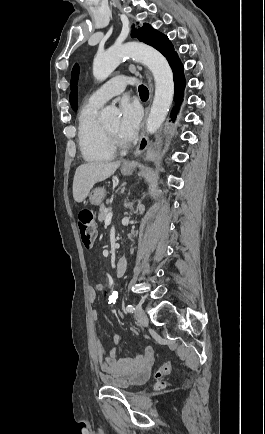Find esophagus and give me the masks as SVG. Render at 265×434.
Instances as JSON below:
<instances>
[{"instance_id":"esophagus-1","label":"esophagus","mask_w":265,"mask_h":434,"mask_svg":"<svg viewBox=\"0 0 265 434\" xmlns=\"http://www.w3.org/2000/svg\"><path fill=\"white\" fill-rule=\"evenodd\" d=\"M148 84H149V90L151 93V96L153 94V85H152V77L151 74L146 71L145 72ZM148 113H149V106L146 107L145 109V115H144V119L142 122V131H141V136H140V140L139 143L134 151V156H140L141 154H143V152H145V150L147 149L148 145H149V138L146 134V126H147V118H148ZM131 163L130 162H126L125 164H123V167H128L130 166Z\"/></svg>"}]
</instances>
